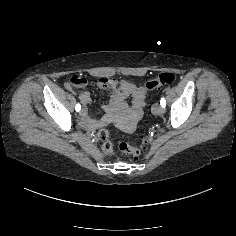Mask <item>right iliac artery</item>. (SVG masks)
Segmentation results:
<instances>
[{
  "instance_id": "obj_1",
  "label": "right iliac artery",
  "mask_w": 236,
  "mask_h": 236,
  "mask_svg": "<svg viewBox=\"0 0 236 236\" xmlns=\"http://www.w3.org/2000/svg\"><path fill=\"white\" fill-rule=\"evenodd\" d=\"M80 109H81V105H80L79 103L76 104V106H75V110H76L77 112H79Z\"/></svg>"
}]
</instances>
